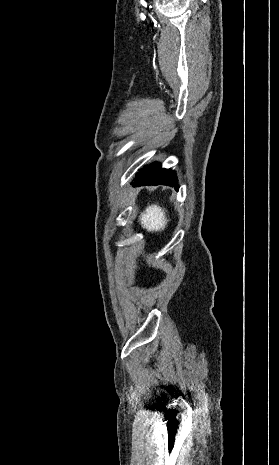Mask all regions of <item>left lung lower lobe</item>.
Here are the masks:
<instances>
[{
  "label": "left lung lower lobe",
  "instance_id": "1",
  "mask_svg": "<svg viewBox=\"0 0 279 465\" xmlns=\"http://www.w3.org/2000/svg\"><path fill=\"white\" fill-rule=\"evenodd\" d=\"M134 185H168L178 190L175 172L161 168V164L154 162L142 169L134 179Z\"/></svg>",
  "mask_w": 279,
  "mask_h": 465
}]
</instances>
